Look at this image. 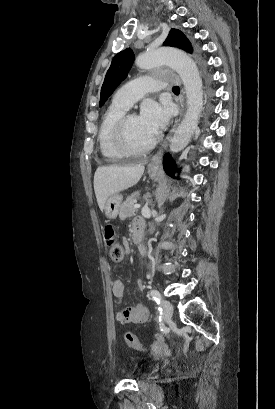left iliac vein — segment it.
<instances>
[{"mask_svg": "<svg viewBox=\"0 0 275 409\" xmlns=\"http://www.w3.org/2000/svg\"><path fill=\"white\" fill-rule=\"evenodd\" d=\"M163 314L166 322H169L173 314V305L168 300L162 301Z\"/></svg>", "mask_w": 275, "mask_h": 409, "instance_id": "4c4485c4", "label": "left iliac vein"}]
</instances>
